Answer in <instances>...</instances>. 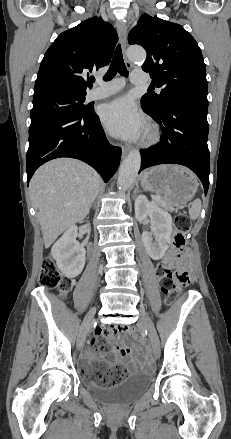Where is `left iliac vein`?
I'll return each mask as SVG.
<instances>
[{"instance_id": "left-iliac-vein-1", "label": "left iliac vein", "mask_w": 231, "mask_h": 439, "mask_svg": "<svg viewBox=\"0 0 231 439\" xmlns=\"http://www.w3.org/2000/svg\"><path fill=\"white\" fill-rule=\"evenodd\" d=\"M139 325L148 332V337L152 346L153 354L157 357L160 352V341L154 324L145 312L144 308L140 309Z\"/></svg>"}]
</instances>
